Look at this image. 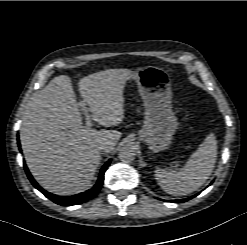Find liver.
Masks as SVG:
<instances>
[{
  "label": "liver",
  "mask_w": 247,
  "mask_h": 245,
  "mask_svg": "<svg viewBox=\"0 0 247 245\" xmlns=\"http://www.w3.org/2000/svg\"><path fill=\"white\" fill-rule=\"evenodd\" d=\"M131 76L128 69H108L80 79L79 93L94 121L105 127L123 121V91ZM79 107L70 77L60 75L36 95L23 116L20 140L27 166L53 194L86 190L102 159L99 145L109 141L113 149L121 137L118 131L86 129Z\"/></svg>",
  "instance_id": "obj_1"
}]
</instances>
